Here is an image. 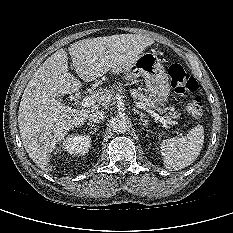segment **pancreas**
Masks as SVG:
<instances>
[{
  "label": "pancreas",
  "mask_w": 233,
  "mask_h": 233,
  "mask_svg": "<svg viewBox=\"0 0 233 233\" xmlns=\"http://www.w3.org/2000/svg\"><path fill=\"white\" fill-rule=\"evenodd\" d=\"M131 95L135 100L142 102L147 108L157 109L159 112H165V110H162L156 106V103L149 95L143 94L137 89H133L131 91ZM172 111H174V109H172ZM171 115H172V118L175 119V118H178L180 114L177 111H174L173 113H171ZM167 120L170 122L171 118L167 116Z\"/></svg>",
  "instance_id": "pancreas-1"
}]
</instances>
